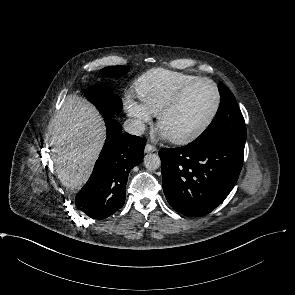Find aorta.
Instances as JSON below:
<instances>
[{
	"label": "aorta",
	"mask_w": 295,
	"mask_h": 295,
	"mask_svg": "<svg viewBox=\"0 0 295 295\" xmlns=\"http://www.w3.org/2000/svg\"><path fill=\"white\" fill-rule=\"evenodd\" d=\"M144 165L148 170H156L161 165L160 157L154 153L147 154L144 157Z\"/></svg>",
	"instance_id": "obj_1"
}]
</instances>
